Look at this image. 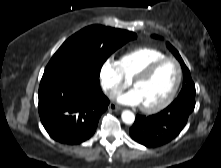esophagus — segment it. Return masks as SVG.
I'll return each instance as SVG.
<instances>
[{
	"label": "esophagus",
	"instance_id": "1",
	"mask_svg": "<svg viewBox=\"0 0 221 168\" xmlns=\"http://www.w3.org/2000/svg\"><path fill=\"white\" fill-rule=\"evenodd\" d=\"M109 110L120 111V110H122V108H121L120 106H117V105L114 104V103H111V104L109 105Z\"/></svg>",
	"mask_w": 221,
	"mask_h": 168
}]
</instances>
